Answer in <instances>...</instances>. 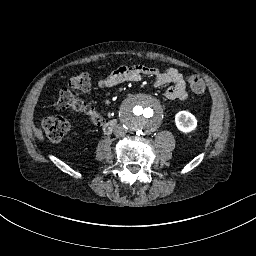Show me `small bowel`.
Returning a JSON list of instances; mask_svg holds the SVG:
<instances>
[{
    "label": "small bowel",
    "instance_id": "small-bowel-1",
    "mask_svg": "<svg viewBox=\"0 0 256 256\" xmlns=\"http://www.w3.org/2000/svg\"><path fill=\"white\" fill-rule=\"evenodd\" d=\"M142 75L155 78V85L162 87L172 84L165 91L169 100H185L188 97L187 81L183 74L175 68L159 70L141 64L124 65L113 70L109 75L101 78L98 85L101 88H113L127 81H138Z\"/></svg>",
    "mask_w": 256,
    "mask_h": 256
}]
</instances>
